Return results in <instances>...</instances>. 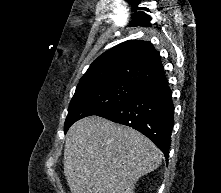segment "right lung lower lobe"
<instances>
[{
    "label": "right lung lower lobe",
    "mask_w": 221,
    "mask_h": 193,
    "mask_svg": "<svg viewBox=\"0 0 221 193\" xmlns=\"http://www.w3.org/2000/svg\"><path fill=\"white\" fill-rule=\"evenodd\" d=\"M98 115L141 132L168 160L174 104L166 77L144 84L133 98Z\"/></svg>",
    "instance_id": "98d812e1"
}]
</instances>
